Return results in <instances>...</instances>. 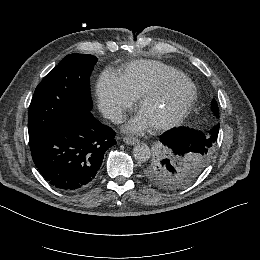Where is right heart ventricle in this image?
I'll return each mask as SVG.
<instances>
[{
  "label": "right heart ventricle",
  "mask_w": 260,
  "mask_h": 260,
  "mask_svg": "<svg viewBox=\"0 0 260 260\" xmlns=\"http://www.w3.org/2000/svg\"><path fill=\"white\" fill-rule=\"evenodd\" d=\"M181 74L183 73L176 68L158 61H141L130 67V75L134 77L135 87L141 93L162 79L177 77Z\"/></svg>",
  "instance_id": "e07e8e85"
}]
</instances>
